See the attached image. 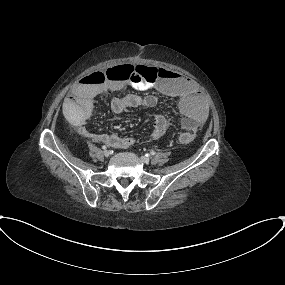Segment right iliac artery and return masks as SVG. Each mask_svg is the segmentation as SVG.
I'll return each mask as SVG.
<instances>
[{
  "instance_id": "right-iliac-artery-1",
  "label": "right iliac artery",
  "mask_w": 285,
  "mask_h": 285,
  "mask_svg": "<svg viewBox=\"0 0 285 285\" xmlns=\"http://www.w3.org/2000/svg\"><path fill=\"white\" fill-rule=\"evenodd\" d=\"M101 148H102L103 150H106V149H107V147H106L105 145H103Z\"/></svg>"
}]
</instances>
